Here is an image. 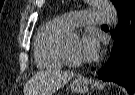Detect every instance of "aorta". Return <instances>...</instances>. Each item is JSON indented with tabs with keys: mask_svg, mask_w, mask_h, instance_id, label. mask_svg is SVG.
Returning <instances> with one entry per match:
<instances>
[{
	"mask_svg": "<svg viewBox=\"0 0 135 95\" xmlns=\"http://www.w3.org/2000/svg\"><path fill=\"white\" fill-rule=\"evenodd\" d=\"M91 3L97 6L98 8L102 9L107 14L114 27H116V25L118 24V14L110 0H91ZM111 48L112 44L110 45V50Z\"/></svg>",
	"mask_w": 135,
	"mask_h": 95,
	"instance_id": "obj_1",
	"label": "aorta"
}]
</instances>
